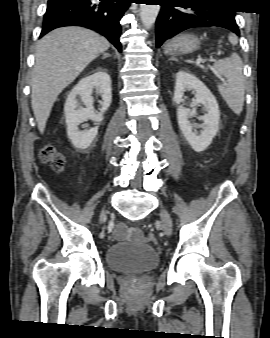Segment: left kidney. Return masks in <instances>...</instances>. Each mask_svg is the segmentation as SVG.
Listing matches in <instances>:
<instances>
[{
	"instance_id": "5707ae66",
	"label": "left kidney",
	"mask_w": 270,
	"mask_h": 338,
	"mask_svg": "<svg viewBox=\"0 0 270 338\" xmlns=\"http://www.w3.org/2000/svg\"><path fill=\"white\" fill-rule=\"evenodd\" d=\"M186 90H193L195 92L194 104H202L207 111V114L200 117L204 123L203 130L199 135L193 131L194 126L188 120L196 115V109L190 110L180 105ZM174 101L178 105V124L185 139L194 151H204L212 143L219 128L220 111L216 98L195 75L182 70L176 74Z\"/></svg>"
}]
</instances>
